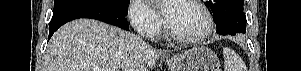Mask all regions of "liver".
<instances>
[{"mask_svg": "<svg viewBox=\"0 0 301 71\" xmlns=\"http://www.w3.org/2000/svg\"><path fill=\"white\" fill-rule=\"evenodd\" d=\"M161 52L137 35L97 20L78 19L50 39L43 71H152Z\"/></svg>", "mask_w": 301, "mask_h": 71, "instance_id": "6515ba94", "label": "liver"}]
</instances>
